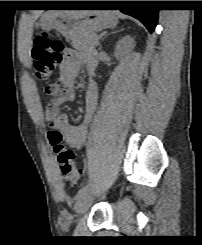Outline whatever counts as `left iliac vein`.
<instances>
[{"mask_svg":"<svg viewBox=\"0 0 202 245\" xmlns=\"http://www.w3.org/2000/svg\"><path fill=\"white\" fill-rule=\"evenodd\" d=\"M92 202L93 197L89 192L80 195L75 205V211L80 215L84 214L86 211H88V209L92 205Z\"/></svg>","mask_w":202,"mask_h":245,"instance_id":"1","label":"left iliac vein"}]
</instances>
